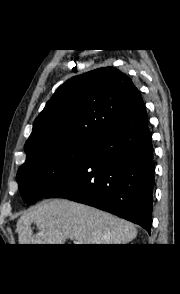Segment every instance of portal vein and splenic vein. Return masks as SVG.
<instances>
[{
  "label": "portal vein and splenic vein",
  "mask_w": 180,
  "mask_h": 294,
  "mask_svg": "<svg viewBox=\"0 0 180 294\" xmlns=\"http://www.w3.org/2000/svg\"><path fill=\"white\" fill-rule=\"evenodd\" d=\"M74 244H80L78 241H74Z\"/></svg>",
  "instance_id": "obj_1"
}]
</instances>
